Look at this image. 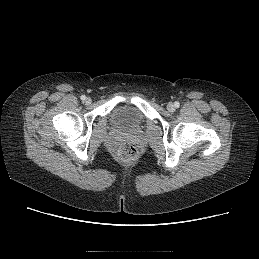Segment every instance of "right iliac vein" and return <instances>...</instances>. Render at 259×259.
<instances>
[{
  "label": "right iliac vein",
  "mask_w": 259,
  "mask_h": 259,
  "mask_svg": "<svg viewBox=\"0 0 259 259\" xmlns=\"http://www.w3.org/2000/svg\"><path fill=\"white\" fill-rule=\"evenodd\" d=\"M91 102H92V100H91L90 97H88V98L85 99V103H86L87 105L91 104Z\"/></svg>",
  "instance_id": "obj_1"
}]
</instances>
